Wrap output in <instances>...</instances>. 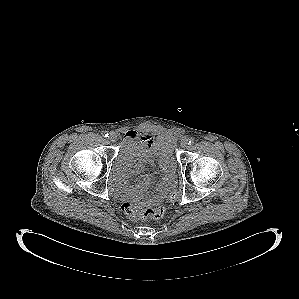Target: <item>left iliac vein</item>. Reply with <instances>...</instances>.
<instances>
[{
    "label": "left iliac vein",
    "instance_id": "left-iliac-vein-1",
    "mask_svg": "<svg viewBox=\"0 0 299 299\" xmlns=\"http://www.w3.org/2000/svg\"><path fill=\"white\" fill-rule=\"evenodd\" d=\"M188 139L187 138H184V139H182V141H181V147L183 148V149H187L188 148Z\"/></svg>",
    "mask_w": 299,
    "mask_h": 299
}]
</instances>
